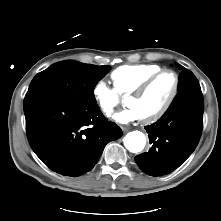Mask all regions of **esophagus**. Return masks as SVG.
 <instances>
[{"label": "esophagus", "instance_id": "obj_1", "mask_svg": "<svg viewBox=\"0 0 221 221\" xmlns=\"http://www.w3.org/2000/svg\"><path fill=\"white\" fill-rule=\"evenodd\" d=\"M122 130H123V132L126 133V132H128L129 129H128V127H126V126H122Z\"/></svg>", "mask_w": 221, "mask_h": 221}]
</instances>
